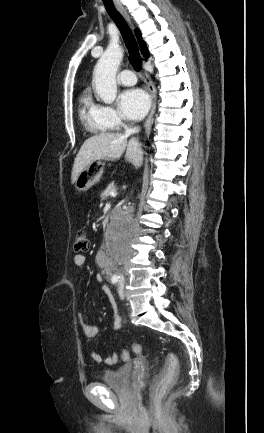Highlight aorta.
<instances>
[{
  "instance_id": "aorta-1",
  "label": "aorta",
  "mask_w": 264,
  "mask_h": 433,
  "mask_svg": "<svg viewBox=\"0 0 264 433\" xmlns=\"http://www.w3.org/2000/svg\"><path fill=\"white\" fill-rule=\"evenodd\" d=\"M123 57L120 48H108L98 60L94 70V85L98 96L106 104H112L116 98V73Z\"/></svg>"
}]
</instances>
